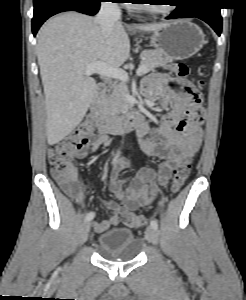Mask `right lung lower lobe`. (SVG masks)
I'll return each instance as SVG.
<instances>
[{
  "label": "right lung lower lobe",
  "mask_w": 246,
  "mask_h": 300,
  "mask_svg": "<svg viewBox=\"0 0 246 300\" xmlns=\"http://www.w3.org/2000/svg\"><path fill=\"white\" fill-rule=\"evenodd\" d=\"M102 0H34L32 32L35 36L40 26L49 17L64 11H78L95 15Z\"/></svg>",
  "instance_id": "right-lung-lower-lobe-1"
}]
</instances>
